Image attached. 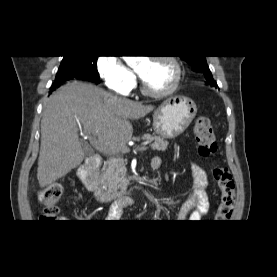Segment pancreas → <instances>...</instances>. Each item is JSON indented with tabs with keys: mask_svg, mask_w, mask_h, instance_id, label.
I'll return each mask as SVG.
<instances>
[{
	"mask_svg": "<svg viewBox=\"0 0 277 277\" xmlns=\"http://www.w3.org/2000/svg\"><path fill=\"white\" fill-rule=\"evenodd\" d=\"M141 139L153 141L151 148L154 151H165L168 146V141L159 136L144 134ZM100 180L109 193L120 194L126 191L130 178L127 176L125 160L121 156H115L106 161L101 170Z\"/></svg>",
	"mask_w": 277,
	"mask_h": 277,
	"instance_id": "pancreas-1",
	"label": "pancreas"
}]
</instances>
